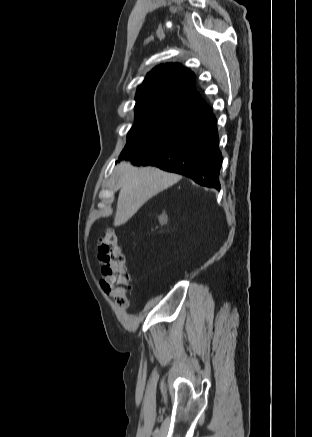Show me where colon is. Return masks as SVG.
<instances>
[{
    "instance_id": "colon-1",
    "label": "colon",
    "mask_w": 312,
    "mask_h": 437,
    "mask_svg": "<svg viewBox=\"0 0 312 437\" xmlns=\"http://www.w3.org/2000/svg\"><path fill=\"white\" fill-rule=\"evenodd\" d=\"M99 260L102 263L100 286L120 308H127L130 292L129 273L117 234L109 230L98 241Z\"/></svg>"
}]
</instances>
